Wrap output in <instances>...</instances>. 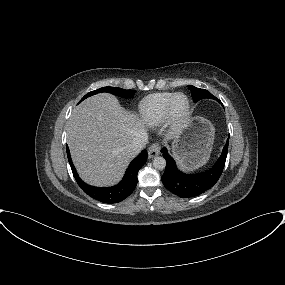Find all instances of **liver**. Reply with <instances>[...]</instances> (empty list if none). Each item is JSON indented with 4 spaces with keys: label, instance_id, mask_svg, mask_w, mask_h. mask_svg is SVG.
<instances>
[{
    "label": "liver",
    "instance_id": "1",
    "mask_svg": "<svg viewBox=\"0 0 285 285\" xmlns=\"http://www.w3.org/2000/svg\"><path fill=\"white\" fill-rule=\"evenodd\" d=\"M145 122L123 109L117 98L101 93L76 106L67 123V143L80 177L95 186L117 183L135 157L134 138ZM178 132H170L168 139Z\"/></svg>",
    "mask_w": 285,
    "mask_h": 285
}]
</instances>
